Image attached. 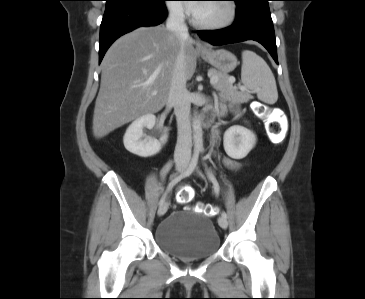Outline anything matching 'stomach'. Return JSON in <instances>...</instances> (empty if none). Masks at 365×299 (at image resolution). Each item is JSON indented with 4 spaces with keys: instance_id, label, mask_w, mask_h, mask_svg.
<instances>
[{
    "instance_id": "stomach-1",
    "label": "stomach",
    "mask_w": 365,
    "mask_h": 299,
    "mask_svg": "<svg viewBox=\"0 0 365 299\" xmlns=\"http://www.w3.org/2000/svg\"><path fill=\"white\" fill-rule=\"evenodd\" d=\"M201 56L218 71L226 74L233 71L238 64L236 56L225 49L204 51Z\"/></svg>"
}]
</instances>
